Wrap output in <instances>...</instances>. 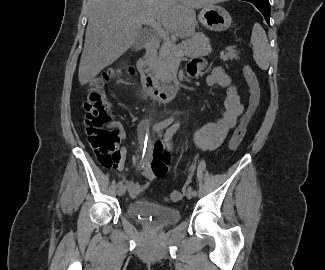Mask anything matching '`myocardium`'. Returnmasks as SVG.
<instances>
[{"mask_svg": "<svg viewBox=\"0 0 325 270\" xmlns=\"http://www.w3.org/2000/svg\"><path fill=\"white\" fill-rule=\"evenodd\" d=\"M214 2H221V1H226V0H212Z\"/></svg>", "mask_w": 325, "mask_h": 270, "instance_id": "1", "label": "myocardium"}]
</instances>
